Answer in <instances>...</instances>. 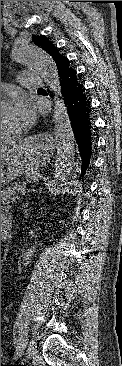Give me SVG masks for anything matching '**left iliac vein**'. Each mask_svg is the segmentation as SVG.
Masks as SVG:
<instances>
[{"mask_svg":"<svg viewBox=\"0 0 122 366\" xmlns=\"http://www.w3.org/2000/svg\"><path fill=\"white\" fill-rule=\"evenodd\" d=\"M16 350H17V356H20L24 350L21 341L18 344ZM35 354H36V343L34 341H30L27 348V358H32Z\"/></svg>","mask_w":122,"mask_h":366,"instance_id":"left-iliac-vein-1","label":"left iliac vein"}]
</instances>
